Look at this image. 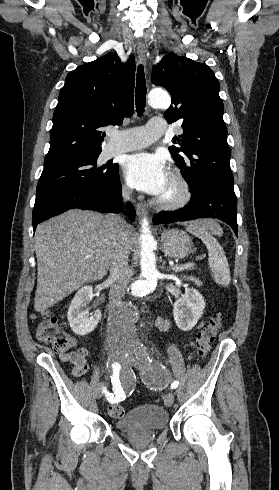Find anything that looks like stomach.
<instances>
[{
  "mask_svg": "<svg viewBox=\"0 0 279 490\" xmlns=\"http://www.w3.org/2000/svg\"><path fill=\"white\" fill-rule=\"evenodd\" d=\"M161 244L168 258H186L194 252L192 242L183 230H164Z\"/></svg>",
  "mask_w": 279,
  "mask_h": 490,
  "instance_id": "stomach-1",
  "label": "stomach"
}]
</instances>
